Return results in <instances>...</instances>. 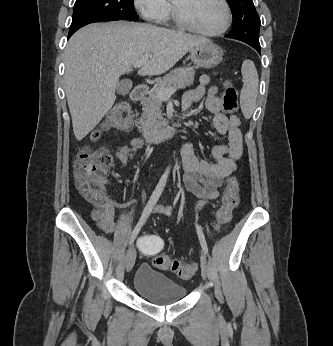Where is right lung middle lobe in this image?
Returning <instances> with one entry per match:
<instances>
[{
    "mask_svg": "<svg viewBox=\"0 0 333 346\" xmlns=\"http://www.w3.org/2000/svg\"><path fill=\"white\" fill-rule=\"evenodd\" d=\"M134 0H76L69 32L94 22L137 20Z\"/></svg>",
    "mask_w": 333,
    "mask_h": 346,
    "instance_id": "1",
    "label": "right lung middle lobe"
}]
</instances>
